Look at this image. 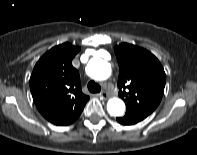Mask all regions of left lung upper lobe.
Returning a JSON list of instances; mask_svg holds the SVG:
<instances>
[{"label":"left lung upper lobe","instance_id":"obj_1","mask_svg":"<svg viewBox=\"0 0 197 155\" xmlns=\"http://www.w3.org/2000/svg\"><path fill=\"white\" fill-rule=\"evenodd\" d=\"M114 51L119 64V96L127 107L125 115L142 121L162 99L164 69L152 53L136 45L122 43Z\"/></svg>","mask_w":197,"mask_h":155}]
</instances>
